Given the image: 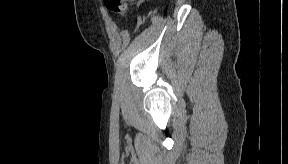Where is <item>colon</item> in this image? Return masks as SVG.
<instances>
[{
	"label": "colon",
	"instance_id": "5ec220e1",
	"mask_svg": "<svg viewBox=\"0 0 288 164\" xmlns=\"http://www.w3.org/2000/svg\"><path fill=\"white\" fill-rule=\"evenodd\" d=\"M107 7L116 13L125 14L128 12L126 0H106Z\"/></svg>",
	"mask_w": 288,
	"mask_h": 164
}]
</instances>
